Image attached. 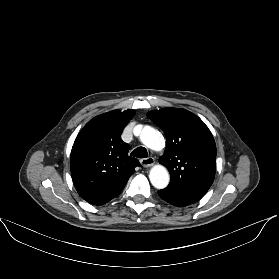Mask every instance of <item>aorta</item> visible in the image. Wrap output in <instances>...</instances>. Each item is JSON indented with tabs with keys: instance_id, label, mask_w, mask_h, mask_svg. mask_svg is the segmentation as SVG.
Wrapping results in <instances>:
<instances>
[{
	"instance_id": "aorta-1",
	"label": "aorta",
	"mask_w": 279,
	"mask_h": 279,
	"mask_svg": "<svg viewBox=\"0 0 279 279\" xmlns=\"http://www.w3.org/2000/svg\"><path fill=\"white\" fill-rule=\"evenodd\" d=\"M141 142L154 151H160L164 147V138L161 133L150 127L145 126L140 133ZM151 184L157 189H164L169 184L170 176L167 169L162 165H155L149 173Z\"/></svg>"
}]
</instances>
